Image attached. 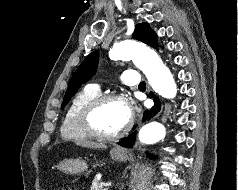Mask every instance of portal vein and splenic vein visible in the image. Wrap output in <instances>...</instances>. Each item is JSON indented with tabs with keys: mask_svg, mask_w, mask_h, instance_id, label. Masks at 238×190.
<instances>
[{
	"mask_svg": "<svg viewBox=\"0 0 238 190\" xmlns=\"http://www.w3.org/2000/svg\"><path fill=\"white\" fill-rule=\"evenodd\" d=\"M111 185H112L111 182H108V183H104V184H103L104 187H110Z\"/></svg>",
	"mask_w": 238,
	"mask_h": 190,
	"instance_id": "1",
	"label": "portal vein and splenic vein"
}]
</instances>
